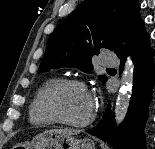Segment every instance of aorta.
<instances>
[{
	"label": "aorta",
	"mask_w": 155,
	"mask_h": 149,
	"mask_svg": "<svg viewBox=\"0 0 155 149\" xmlns=\"http://www.w3.org/2000/svg\"><path fill=\"white\" fill-rule=\"evenodd\" d=\"M133 78H134V65L133 62L129 59L122 73L121 88L119 90V94L117 96L115 104L114 115L117 126H119L124 121L126 114L128 112L131 97L130 93L133 85Z\"/></svg>",
	"instance_id": "762f6f07"
}]
</instances>
